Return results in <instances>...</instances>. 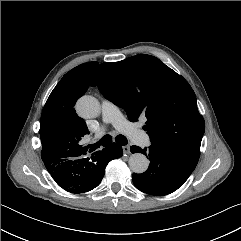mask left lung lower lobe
<instances>
[{
    "label": "left lung lower lobe",
    "mask_w": 241,
    "mask_h": 241,
    "mask_svg": "<svg viewBox=\"0 0 241 241\" xmlns=\"http://www.w3.org/2000/svg\"><path fill=\"white\" fill-rule=\"evenodd\" d=\"M130 150L150 158L147 171L133 173L132 178L139 190L152 195H167L177 190L188 179L199 160L157 145H150L148 149L132 146Z\"/></svg>",
    "instance_id": "1"
}]
</instances>
